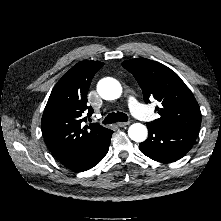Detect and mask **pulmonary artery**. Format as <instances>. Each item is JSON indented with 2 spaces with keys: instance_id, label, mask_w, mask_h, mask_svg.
I'll list each match as a JSON object with an SVG mask.
<instances>
[{
  "instance_id": "pulmonary-artery-1",
  "label": "pulmonary artery",
  "mask_w": 221,
  "mask_h": 221,
  "mask_svg": "<svg viewBox=\"0 0 221 221\" xmlns=\"http://www.w3.org/2000/svg\"><path fill=\"white\" fill-rule=\"evenodd\" d=\"M128 105L133 115L142 120L149 119V113L146 111L143 105L140 104L133 96H130L128 98Z\"/></svg>"
}]
</instances>
